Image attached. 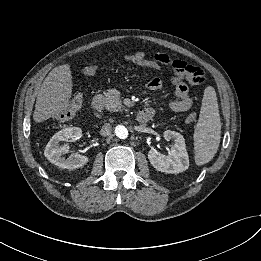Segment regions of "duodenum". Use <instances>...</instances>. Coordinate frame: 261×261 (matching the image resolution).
<instances>
[{
	"instance_id": "1",
	"label": "duodenum",
	"mask_w": 261,
	"mask_h": 261,
	"mask_svg": "<svg viewBox=\"0 0 261 261\" xmlns=\"http://www.w3.org/2000/svg\"><path fill=\"white\" fill-rule=\"evenodd\" d=\"M92 107L94 110L100 111L103 108V99L100 95L94 97L92 102ZM153 116V110L151 108H144L140 110L136 115V120L138 123L143 124L149 121Z\"/></svg>"
}]
</instances>
